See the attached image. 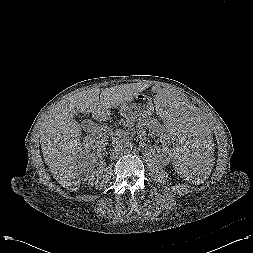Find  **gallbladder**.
Instances as JSON below:
<instances>
[{"label": "gallbladder", "instance_id": "obj_1", "mask_svg": "<svg viewBox=\"0 0 253 253\" xmlns=\"http://www.w3.org/2000/svg\"><path fill=\"white\" fill-rule=\"evenodd\" d=\"M91 123V120H83L81 122V126L84 128V129H87V124Z\"/></svg>", "mask_w": 253, "mask_h": 253}]
</instances>
